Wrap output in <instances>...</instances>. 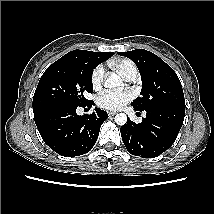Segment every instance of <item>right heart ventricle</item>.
<instances>
[{
  "label": "right heart ventricle",
  "mask_w": 214,
  "mask_h": 214,
  "mask_svg": "<svg viewBox=\"0 0 214 214\" xmlns=\"http://www.w3.org/2000/svg\"><path fill=\"white\" fill-rule=\"evenodd\" d=\"M113 68L122 76L126 77L129 71L136 69L134 63L128 59H121L112 63Z\"/></svg>",
  "instance_id": "obj_1"
}]
</instances>
